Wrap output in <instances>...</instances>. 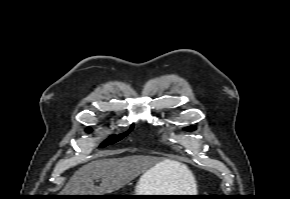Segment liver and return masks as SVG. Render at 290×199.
Instances as JSON below:
<instances>
[{"mask_svg": "<svg viewBox=\"0 0 290 199\" xmlns=\"http://www.w3.org/2000/svg\"><path fill=\"white\" fill-rule=\"evenodd\" d=\"M159 166V177L167 182L170 192L191 190L194 177L186 165L164 159L160 162L150 156H126L92 161L79 168L62 190V195H104L119 190L138 175ZM101 179L100 186L94 181Z\"/></svg>", "mask_w": 290, "mask_h": 199, "instance_id": "6515ba94", "label": "liver"}]
</instances>
